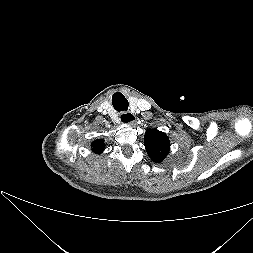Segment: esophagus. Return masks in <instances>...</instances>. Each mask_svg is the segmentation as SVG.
<instances>
[{"instance_id": "34e87169", "label": "esophagus", "mask_w": 253, "mask_h": 253, "mask_svg": "<svg viewBox=\"0 0 253 253\" xmlns=\"http://www.w3.org/2000/svg\"><path fill=\"white\" fill-rule=\"evenodd\" d=\"M120 121L123 124L134 125L136 122V116L131 112H122L120 114Z\"/></svg>"}]
</instances>
